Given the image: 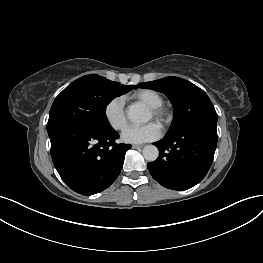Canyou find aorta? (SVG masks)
<instances>
[{
    "label": "aorta",
    "mask_w": 263,
    "mask_h": 263,
    "mask_svg": "<svg viewBox=\"0 0 263 263\" xmlns=\"http://www.w3.org/2000/svg\"><path fill=\"white\" fill-rule=\"evenodd\" d=\"M128 119L134 123H145L149 120L150 115L145 106L140 103H134L128 107ZM159 151L154 145H146L143 148V156L147 161H155L158 158Z\"/></svg>",
    "instance_id": "1"
}]
</instances>
